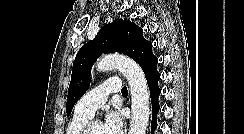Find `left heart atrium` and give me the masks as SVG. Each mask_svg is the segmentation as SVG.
<instances>
[{
	"instance_id": "39dd6f15",
	"label": "left heart atrium",
	"mask_w": 244,
	"mask_h": 134,
	"mask_svg": "<svg viewBox=\"0 0 244 134\" xmlns=\"http://www.w3.org/2000/svg\"><path fill=\"white\" fill-rule=\"evenodd\" d=\"M102 126L104 134H123V120L118 112H109Z\"/></svg>"
}]
</instances>
